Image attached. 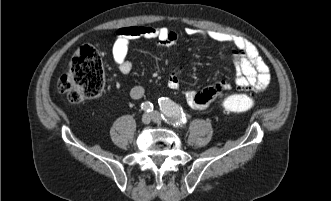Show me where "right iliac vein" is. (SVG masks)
I'll return each mask as SVG.
<instances>
[{"instance_id": "obj_1", "label": "right iliac vein", "mask_w": 331, "mask_h": 201, "mask_svg": "<svg viewBox=\"0 0 331 201\" xmlns=\"http://www.w3.org/2000/svg\"><path fill=\"white\" fill-rule=\"evenodd\" d=\"M151 119H152L151 114L145 113V114L142 116V122H143L144 124H149V123L151 122Z\"/></svg>"}]
</instances>
